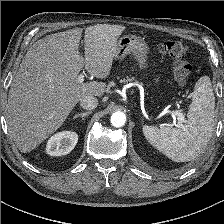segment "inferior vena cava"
Returning <instances> with one entry per match:
<instances>
[{
	"mask_svg": "<svg viewBox=\"0 0 224 224\" xmlns=\"http://www.w3.org/2000/svg\"><path fill=\"white\" fill-rule=\"evenodd\" d=\"M80 105L83 109L92 110L98 105V100L94 96H85L80 100Z\"/></svg>",
	"mask_w": 224,
	"mask_h": 224,
	"instance_id": "602c4592",
	"label": "inferior vena cava"
}]
</instances>
